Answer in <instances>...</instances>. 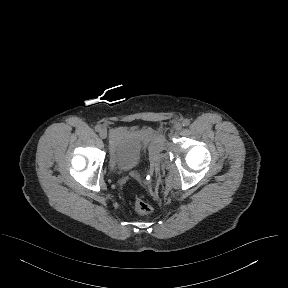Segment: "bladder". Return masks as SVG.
<instances>
[{
    "instance_id": "bladder-1",
    "label": "bladder",
    "mask_w": 288,
    "mask_h": 288,
    "mask_svg": "<svg viewBox=\"0 0 288 288\" xmlns=\"http://www.w3.org/2000/svg\"><path fill=\"white\" fill-rule=\"evenodd\" d=\"M108 151L110 165L122 172L135 169L143 157H154L158 153L151 132L129 127L110 131Z\"/></svg>"
}]
</instances>
